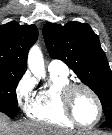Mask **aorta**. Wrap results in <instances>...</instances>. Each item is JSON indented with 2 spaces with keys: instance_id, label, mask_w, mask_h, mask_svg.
<instances>
[{
  "instance_id": "aorta-1",
  "label": "aorta",
  "mask_w": 112,
  "mask_h": 135,
  "mask_svg": "<svg viewBox=\"0 0 112 135\" xmlns=\"http://www.w3.org/2000/svg\"><path fill=\"white\" fill-rule=\"evenodd\" d=\"M28 68L32 72V74L37 77L41 78L45 75V65L42 52L37 45H34L28 54Z\"/></svg>"
}]
</instances>
